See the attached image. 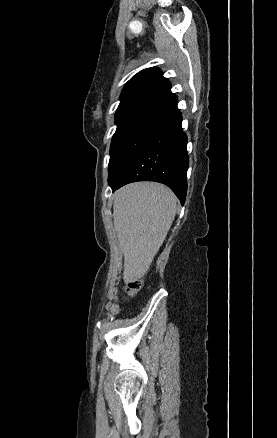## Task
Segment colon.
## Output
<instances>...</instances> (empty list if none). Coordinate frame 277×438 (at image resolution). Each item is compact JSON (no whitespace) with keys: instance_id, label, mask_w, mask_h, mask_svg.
Instances as JSON below:
<instances>
[{"instance_id":"colon-1","label":"colon","mask_w":277,"mask_h":438,"mask_svg":"<svg viewBox=\"0 0 277 438\" xmlns=\"http://www.w3.org/2000/svg\"><path fill=\"white\" fill-rule=\"evenodd\" d=\"M140 290H141V285L137 281L131 282L126 288V292L130 296L137 294Z\"/></svg>"}]
</instances>
